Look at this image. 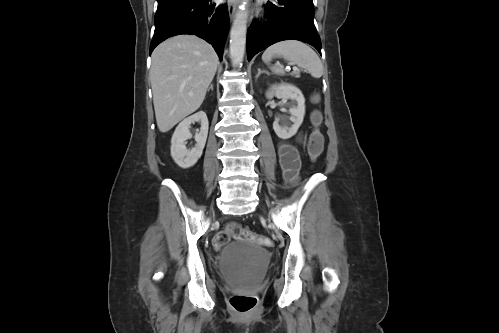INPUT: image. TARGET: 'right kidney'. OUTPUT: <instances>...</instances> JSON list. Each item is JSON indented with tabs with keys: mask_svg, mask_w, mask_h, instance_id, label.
<instances>
[{
	"mask_svg": "<svg viewBox=\"0 0 499 333\" xmlns=\"http://www.w3.org/2000/svg\"><path fill=\"white\" fill-rule=\"evenodd\" d=\"M194 122H200V132L195 134L197 144L191 150L185 146V141L192 137L190 133V125ZM208 119L206 113L199 111L184 119L175 129L171 139V156L175 163L181 168H190L194 166L198 159L202 156L203 149L208 135Z\"/></svg>",
	"mask_w": 499,
	"mask_h": 333,
	"instance_id": "ca27d5eb",
	"label": "right kidney"
}]
</instances>
